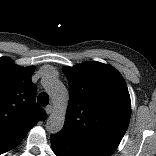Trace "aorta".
<instances>
[{
	"mask_svg": "<svg viewBox=\"0 0 156 156\" xmlns=\"http://www.w3.org/2000/svg\"><path fill=\"white\" fill-rule=\"evenodd\" d=\"M44 87L53 104V111L48 117L45 127L49 133L56 134L64 126L69 94L66 87L58 80L47 79Z\"/></svg>",
	"mask_w": 156,
	"mask_h": 156,
	"instance_id": "obj_1",
	"label": "aorta"
}]
</instances>
